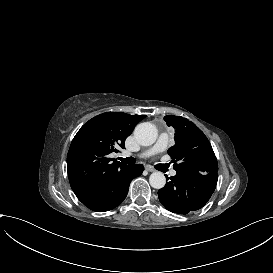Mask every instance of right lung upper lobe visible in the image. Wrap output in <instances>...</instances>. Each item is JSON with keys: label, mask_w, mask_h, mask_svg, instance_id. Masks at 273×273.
I'll return each instance as SVG.
<instances>
[{"label": "right lung upper lobe", "mask_w": 273, "mask_h": 273, "mask_svg": "<svg viewBox=\"0 0 273 273\" xmlns=\"http://www.w3.org/2000/svg\"><path fill=\"white\" fill-rule=\"evenodd\" d=\"M146 115L106 112L86 122L75 135L67 155V172L72 190L80 201L95 193L114 172L127 165L110 162L116 147Z\"/></svg>", "instance_id": "cb5924a9"}]
</instances>
